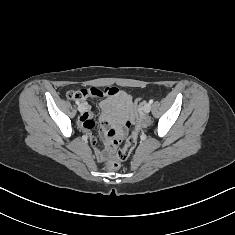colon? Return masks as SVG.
Segmentation results:
<instances>
[{"mask_svg": "<svg viewBox=\"0 0 235 235\" xmlns=\"http://www.w3.org/2000/svg\"><path fill=\"white\" fill-rule=\"evenodd\" d=\"M84 94L86 96L92 97H105L113 94V90L110 87L105 89L88 88ZM80 96L81 92H71L69 94V98L71 99H78ZM133 124H136V126L134 130L128 135L122 148H116L121 143V137L115 136L113 130H110L108 132L109 148L106 151L97 150L98 157L100 159L106 160L108 169L118 168L119 162L126 160L134 150L139 132L138 118L136 115L125 122V126L127 128Z\"/></svg>", "mask_w": 235, "mask_h": 235, "instance_id": "5ec220e1", "label": "colon"}]
</instances>
